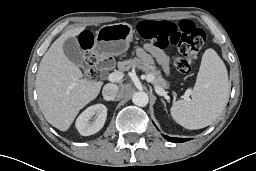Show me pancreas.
Listing matches in <instances>:
<instances>
[{
	"label": "pancreas",
	"instance_id": "pancreas-1",
	"mask_svg": "<svg viewBox=\"0 0 256 171\" xmlns=\"http://www.w3.org/2000/svg\"><path fill=\"white\" fill-rule=\"evenodd\" d=\"M118 67L124 71H127L132 67H136L143 70L146 75L153 76L152 84L155 87H168V82L162 77L161 71L155 65H153V58L151 55L145 53L144 51L139 54V58H133L119 62Z\"/></svg>",
	"mask_w": 256,
	"mask_h": 171
}]
</instances>
